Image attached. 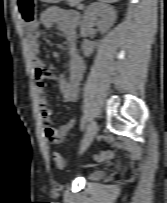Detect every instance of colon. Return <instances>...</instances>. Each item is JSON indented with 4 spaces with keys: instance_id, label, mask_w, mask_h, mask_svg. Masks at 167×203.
<instances>
[{
    "instance_id": "1",
    "label": "colon",
    "mask_w": 167,
    "mask_h": 203,
    "mask_svg": "<svg viewBox=\"0 0 167 203\" xmlns=\"http://www.w3.org/2000/svg\"><path fill=\"white\" fill-rule=\"evenodd\" d=\"M18 12L27 26V29L30 33H37L39 31V27L35 20V2L34 0H17ZM115 157V153L113 151H102L93 156L94 161L101 162L113 159ZM53 161L57 168L63 169L66 166L65 159L58 152H53L52 154Z\"/></svg>"
}]
</instances>
